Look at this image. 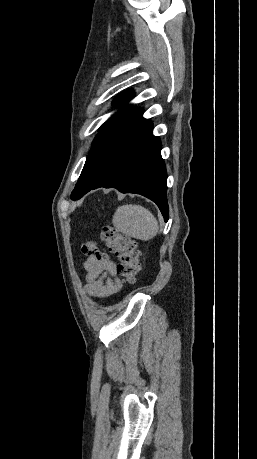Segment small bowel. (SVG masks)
<instances>
[{
    "mask_svg": "<svg viewBox=\"0 0 257 459\" xmlns=\"http://www.w3.org/2000/svg\"><path fill=\"white\" fill-rule=\"evenodd\" d=\"M83 262L85 290L95 298H106L117 294L122 284L116 276V264L110 257L94 245H85Z\"/></svg>",
    "mask_w": 257,
    "mask_h": 459,
    "instance_id": "obj_1",
    "label": "small bowel"
}]
</instances>
